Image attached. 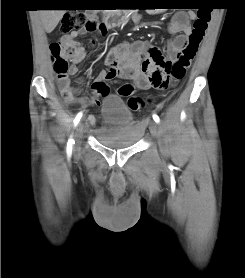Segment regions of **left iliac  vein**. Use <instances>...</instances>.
I'll use <instances>...</instances> for the list:
<instances>
[{
    "label": "left iliac vein",
    "instance_id": "1",
    "mask_svg": "<svg viewBox=\"0 0 245 278\" xmlns=\"http://www.w3.org/2000/svg\"><path fill=\"white\" fill-rule=\"evenodd\" d=\"M150 132L155 138L159 137V130L155 122L150 123Z\"/></svg>",
    "mask_w": 245,
    "mask_h": 278
}]
</instances>
